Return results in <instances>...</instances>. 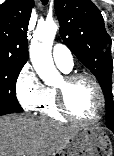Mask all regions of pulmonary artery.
Segmentation results:
<instances>
[{
	"label": "pulmonary artery",
	"instance_id": "obj_1",
	"mask_svg": "<svg viewBox=\"0 0 114 156\" xmlns=\"http://www.w3.org/2000/svg\"><path fill=\"white\" fill-rule=\"evenodd\" d=\"M52 56L55 64L65 70L70 71L73 68V56L71 51L63 44H56L53 47Z\"/></svg>",
	"mask_w": 114,
	"mask_h": 156
}]
</instances>
